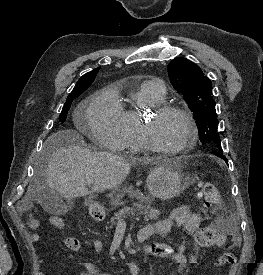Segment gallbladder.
Instances as JSON below:
<instances>
[{
    "label": "gallbladder",
    "instance_id": "gallbladder-1",
    "mask_svg": "<svg viewBox=\"0 0 263 275\" xmlns=\"http://www.w3.org/2000/svg\"><path fill=\"white\" fill-rule=\"evenodd\" d=\"M37 198L43 210L49 214L63 215L70 208L69 204L64 202L62 196L57 191L48 187L44 188Z\"/></svg>",
    "mask_w": 263,
    "mask_h": 275
}]
</instances>
